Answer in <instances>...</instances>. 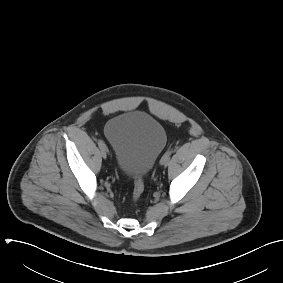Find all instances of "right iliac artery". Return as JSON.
I'll return each instance as SVG.
<instances>
[{
    "mask_svg": "<svg viewBox=\"0 0 283 283\" xmlns=\"http://www.w3.org/2000/svg\"><path fill=\"white\" fill-rule=\"evenodd\" d=\"M98 145L101 150H107L106 145L102 140H98Z\"/></svg>",
    "mask_w": 283,
    "mask_h": 283,
    "instance_id": "obj_1",
    "label": "right iliac artery"
}]
</instances>
